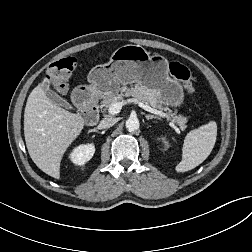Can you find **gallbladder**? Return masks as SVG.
Listing matches in <instances>:
<instances>
[{
	"instance_id": "obj_1",
	"label": "gallbladder",
	"mask_w": 252,
	"mask_h": 252,
	"mask_svg": "<svg viewBox=\"0 0 252 252\" xmlns=\"http://www.w3.org/2000/svg\"><path fill=\"white\" fill-rule=\"evenodd\" d=\"M46 96L56 105L62 106L66 109H70L71 105L64 99H62L57 93L53 92L49 88L45 89Z\"/></svg>"
}]
</instances>
